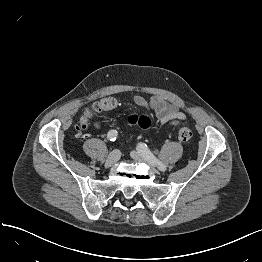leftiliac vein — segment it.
Here are the masks:
<instances>
[{
  "instance_id": "4c4485c4",
  "label": "left iliac vein",
  "mask_w": 262,
  "mask_h": 262,
  "mask_svg": "<svg viewBox=\"0 0 262 262\" xmlns=\"http://www.w3.org/2000/svg\"><path fill=\"white\" fill-rule=\"evenodd\" d=\"M130 155L134 160L146 164L153 171L156 170L155 167L151 163H149V161L141 153L137 151H131Z\"/></svg>"
}]
</instances>
